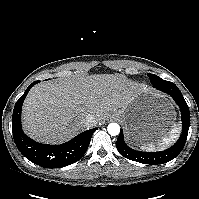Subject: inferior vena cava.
I'll return each instance as SVG.
<instances>
[{
  "mask_svg": "<svg viewBox=\"0 0 199 199\" xmlns=\"http://www.w3.org/2000/svg\"><path fill=\"white\" fill-rule=\"evenodd\" d=\"M83 124H84L85 126H87L88 128H89V127H93V126H95V124H96V119H95L94 116L88 114V115H86V117L84 118Z\"/></svg>",
  "mask_w": 199,
  "mask_h": 199,
  "instance_id": "inferior-vena-cava-1",
  "label": "inferior vena cava"
}]
</instances>
